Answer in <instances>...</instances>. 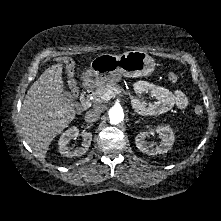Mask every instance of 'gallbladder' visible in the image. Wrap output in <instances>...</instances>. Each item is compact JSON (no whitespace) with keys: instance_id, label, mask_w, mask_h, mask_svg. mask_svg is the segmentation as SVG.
<instances>
[{"instance_id":"bac80fb5","label":"gallbladder","mask_w":221,"mask_h":221,"mask_svg":"<svg viewBox=\"0 0 221 221\" xmlns=\"http://www.w3.org/2000/svg\"><path fill=\"white\" fill-rule=\"evenodd\" d=\"M64 95L68 99V101L71 105H73V106L76 105V102L72 99L71 95L68 92H65Z\"/></svg>"}]
</instances>
